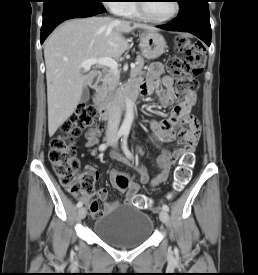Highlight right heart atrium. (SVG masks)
Here are the masks:
<instances>
[{
  "mask_svg": "<svg viewBox=\"0 0 258 275\" xmlns=\"http://www.w3.org/2000/svg\"><path fill=\"white\" fill-rule=\"evenodd\" d=\"M107 5L115 12L121 13L125 0H106Z\"/></svg>",
  "mask_w": 258,
  "mask_h": 275,
  "instance_id": "obj_1",
  "label": "right heart atrium"
}]
</instances>
